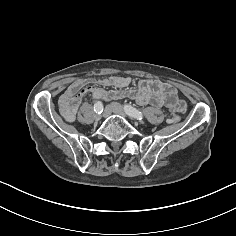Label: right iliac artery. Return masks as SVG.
<instances>
[{"mask_svg":"<svg viewBox=\"0 0 236 236\" xmlns=\"http://www.w3.org/2000/svg\"><path fill=\"white\" fill-rule=\"evenodd\" d=\"M94 111L98 114H101L103 112V104L102 102L98 101L94 105Z\"/></svg>","mask_w":236,"mask_h":236,"instance_id":"1","label":"right iliac artery"}]
</instances>
